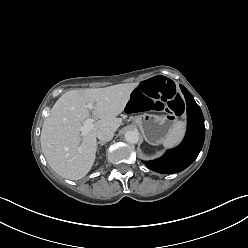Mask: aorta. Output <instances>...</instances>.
Returning a JSON list of instances; mask_svg holds the SVG:
<instances>
[{"label": "aorta", "instance_id": "aorta-1", "mask_svg": "<svg viewBox=\"0 0 248 248\" xmlns=\"http://www.w3.org/2000/svg\"><path fill=\"white\" fill-rule=\"evenodd\" d=\"M124 137L125 140L130 144H136L139 140L138 132L133 130L127 131Z\"/></svg>", "mask_w": 248, "mask_h": 248}]
</instances>
